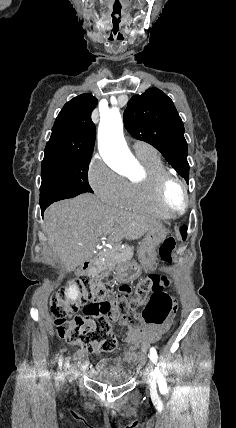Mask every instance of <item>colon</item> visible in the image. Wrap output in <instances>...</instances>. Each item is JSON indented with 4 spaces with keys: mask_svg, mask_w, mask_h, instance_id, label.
I'll return each mask as SVG.
<instances>
[{
    "mask_svg": "<svg viewBox=\"0 0 236 428\" xmlns=\"http://www.w3.org/2000/svg\"><path fill=\"white\" fill-rule=\"evenodd\" d=\"M175 246L176 239L173 236L163 241L159 248L163 262L173 261ZM168 285L166 276L153 274L139 281L134 288L122 285L114 292L109 284L79 277L76 287L80 295L76 301H69L64 289L53 293L50 298L57 334L87 353L111 352L117 344L112 324L117 319L118 310L127 312L135 309L148 296L149 300L142 312L144 323L158 327L169 325L177 305L164 292ZM80 308L82 314L77 315Z\"/></svg>",
    "mask_w": 236,
    "mask_h": 428,
    "instance_id": "colon-1",
    "label": "colon"
}]
</instances>
